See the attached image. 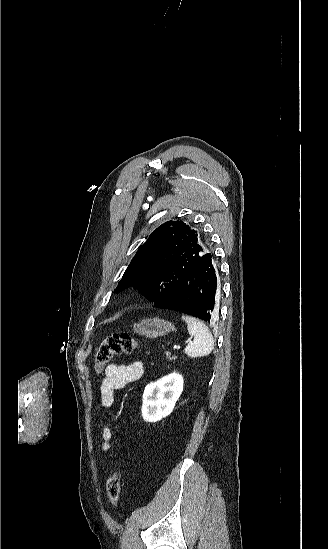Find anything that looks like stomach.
<instances>
[{"instance_id": "0dacf381", "label": "stomach", "mask_w": 328, "mask_h": 549, "mask_svg": "<svg viewBox=\"0 0 328 549\" xmlns=\"http://www.w3.org/2000/svg\"><path fill=\"white\" fill-rule=\"evenodd\" d=\"M132 329L134 333H138V335H142V337H149V339H157V337H163V335L175 331L173 323L164 321V319H159V317L143 319L140 323H134Z\"/></svg>"}]
</instances>
